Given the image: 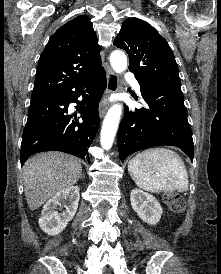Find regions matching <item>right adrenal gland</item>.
I'll list each match as a JSON object with an SVG mask.
<instances>
[{
    "instance_id": "right-adrenal-gland-1",
    "label": "right adrenal gland",
    "mask_w": 221,
    "mask_h": 274,
    "mask_svg": "<svg viewBox=\"0 0 221 274\" xmlns=\"http://www.w3.org/2000/svg\"><path fill=\"white\" fill-rule=\"evenodd\" d=\"M82 178H84L85 176H84V174H82V176H81Z\"/></svg>"
}]
</instances>
